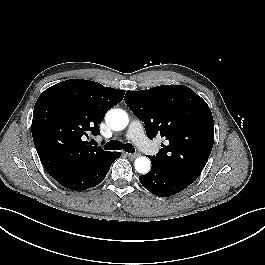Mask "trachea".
I'll use <instances>...</instances> for the list:
<instances>
[{"label":"trachea","instance_id":"1","mask_svg":"<svg viewBox=\"0 0 265 265\" xmlns=\"http://www.w3.org/2000/svg\"><path fill=\"white\" fill-rule=\"evenodd\" d=\"M104 148L107 150H121V149H123L124 151H126L128 153H132V154L135 152V148L132 144H130V143L121 144V142H119L117 140H112V141L107 142L105 144Z\"/></svg>","mask_w":265,"mask_h":265}]
</instances>
